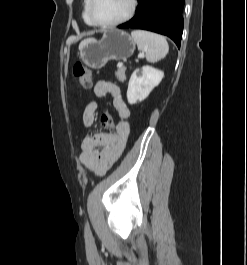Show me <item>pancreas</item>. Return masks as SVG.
Returning a JSON list of instances; mask_svg holds the SVG:
<instances>
[{"instance_id": "pancreas-1", "label": "pancreas", "mask_w": 247, "mask_h": 265, "mask_svg": "<svg viewBox=\"0 0 247 265\" xmlns=\"http://www.w3.org/2000/svg\"><path fill=\"white\" fill-rule=\"evenodd\" d=\"M125 71H126V68L121 67V68H118V70L115 72L116 79L122 83L125 82L126 80Z\"/></svg>"}]
</instances>
